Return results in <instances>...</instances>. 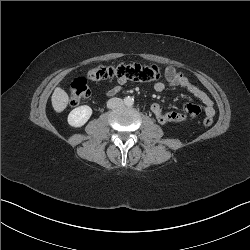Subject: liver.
Returning a JSON list of instances; mask_svg holds the SVG:
<instances>
[{
	"label": "liver",
	"instance_id": "liver-1",
	"mask_svg": "<svg viewBox=\"0 0 250 250\" xmlns=\"http://www.w3.org/2000/svg\"><path fill=\"white\" fill-rule=\"evenodd\" d=\"M52 106L57 113L65 110L69 102V96L65 90L60 87H56L52 97Z\"/></svg>",
	"mask_w": 250,
	"mask_h": 250
}]
</instances>
